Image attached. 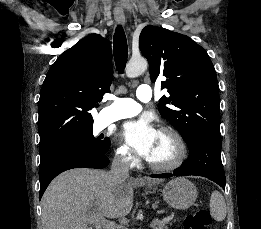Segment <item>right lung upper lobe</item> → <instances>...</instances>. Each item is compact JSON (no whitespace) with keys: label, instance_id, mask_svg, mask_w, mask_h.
<instances>
[{"label":"right lung upper lobe","instance_id":"right-lung-upper-lobe-1","mask_svg":"<svg viewBox=\"0 0 261 229\" xmlns=\"http://www.w3.org/2000/svg\"><path fill=\"white\" fill-rule=\"evenodd\" d=\"M110 42L90 34L62 53L48 71L38 103L39 150L69 142L93 129L89 112L110 92Z\"/></svg>","mask_w":261,"mask_h":229}]
</instances>
